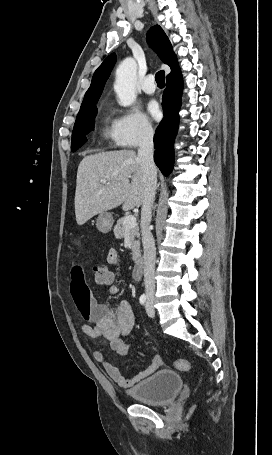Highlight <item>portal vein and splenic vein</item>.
I'll return each instance as SVG.
<instances>
[{
	"label": "portal vein and splenic vein",
	"instance_id": "portal-vein-and-splenic-vein-1",
	"mask_svg": "<svg viewBox=\"0 0 272 455\" xmlns=\"http://www.w3.org/2000/svg\"><path fill=\"white\" fill-rule=\"evenodd\" d=\"M101 182H102L103 184H106V183H107L106 180H101ZM135 225H136V218H135V216L130 215V216H127V217L124 219V227H125L126 229L133 228Z\"/></svg>",
	"mask_w": 272,
	"mask_h": 455
}]
</instances>
